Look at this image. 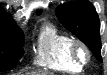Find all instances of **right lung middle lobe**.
<instances>
[{
    "mask_svg": "<svg viewBox=\"0 0 107 75\" xmlns=\"http://www.w3.org/2000/svg\"><path fill=\"white\" fill-rule=\"evenodd\" d=\"M23 33L15 24L0 30V72L10 70L19 64L24 50Z\"/></svg>",
    "mask_w": 107,
    "mask_h": 75,
    "instance_id": "1",
    "label": "right lung middle lobe"
}]
</instances>
